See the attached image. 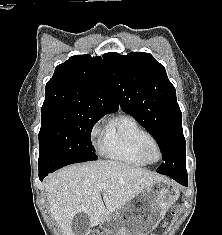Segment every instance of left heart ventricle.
I'll list each match as a JSON object with an SVG mask.
<instances>
[{"label":"left heart ventricle","mask_w":222,"mask_h":235,"mask_svg":"<svg viewBox=\"0 0 222 235\" xmlns=\"http://www.w3.org/2000/svg\"><path fill=\"white\" fill-rule=\"evenodd\" d=\"M148 156L150 160L154 161L158 158V151L155 148H151Z\"/></svg>","instance_id":"b2bd125f"}]
</instances>
